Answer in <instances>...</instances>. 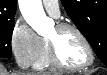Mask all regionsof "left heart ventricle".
Returning <instances> with one entry per match:
<instances>
[{
  "label": "left heart ventricle",
  "instance_id": "obj_1",
  "mask_svg": "<svg viewBox=\"0 0 107 75\" xmlns=\"http://www.w3.org/2000/svg\"><path fill=\"white\" fill-rule=\"evenodd\" d=\"M48 39L55 42L59 56L65 64L78 66L88 60L87 50L75 32L71 30L58 32L55 27Z\"/></svg>",
  "mask_w": 107,
  "mask_h": 75
}]
</instances>
